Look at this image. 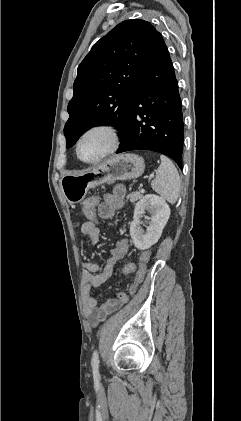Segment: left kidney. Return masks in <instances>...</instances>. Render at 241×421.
I'll use <instances>...</instances> for the list:
<instances>
[{"mask_svg": "<svg viewBox=\"0 0 241 421\" xmlns=\"http://www.w3.org/2000/svg\"><path fill=\"white\" fill-rule=\"evenodd\" d=\"M145 210L151 212L146 232L140 227V218ZM170 216L169 205L163 198L154 195H145L134 209L133 222L130 225V236L137 249L145 250L158 242Z\"/></svg>", "mask_w": 241, "mask_h": 421, "instance_id": "5707ae66", "label": "left kidney"}]
</instances>
